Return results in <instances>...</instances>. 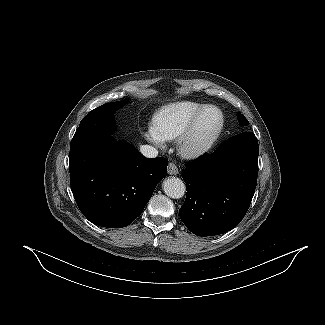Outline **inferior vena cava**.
<instances>
[{
  "instance_id": "inferior-vena-cava-1",
  "label": "inferior vena cava",
  "mask_w": 325,
  "mask_h": 325,
  "mask_svg": "<svg viewBox=\"0 0 325 325\" xmlns=\"http://www.w3.org/2000/svg\"><path fill=\"white\" fill-rule=\"evenodd\" d=\"M140 152L147 158H155L158 155L157 149L149 145H142L140 147Z\"/></svg>"
}]
</instances>
